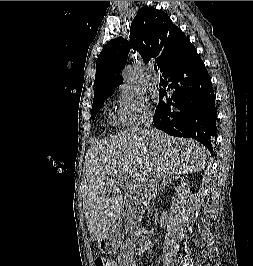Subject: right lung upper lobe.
I'll list each match as a JSON object with an SVG mask.
<instances>
[{
    "label": "right lung upper lobe",
    "mask_w": 253,
    "mask_h": 266,
    "mask_svg": "<svg viewBox=\"0 0 253 266\" xmlns=\"http://www.w3.org/2000/svg\"><path fill=\"white\" fill-rule=\"evenodd\" d=\"M129 38V43L122 37L109 41L98 56L94 100L112 93L122 83L120 72L126 64L130 48L139 52L145 63L154 58L161 72L194 48L165 12L151 7L138 11L132 21Z\"/></svg>",
    "instance_id": "obj_1"
}]
</instances>
